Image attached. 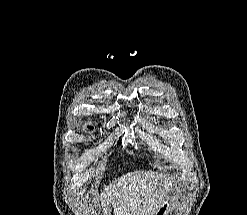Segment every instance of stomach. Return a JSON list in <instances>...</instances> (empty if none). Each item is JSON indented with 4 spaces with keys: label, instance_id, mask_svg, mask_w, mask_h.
I'll return each instance as SVG.
<instances>
[{
    "label": "stomach",
    "instance_id": "obj_1",
    "mask_svg": "<svg viewBox=\"0 0 247 215\" xmlns=\"http://www.w3.org/2000/svg\"><path fill=\"white\" fill-rule=\"evenodd\" d=\"M179 188H175L174 191H177ZM171 201L172 196H167L162 203L158 206L157 210L153 215H169L171 211Z\"/></svg>",
    "mask_w": 247,
    "mask_h": 215
}]
</instances>
